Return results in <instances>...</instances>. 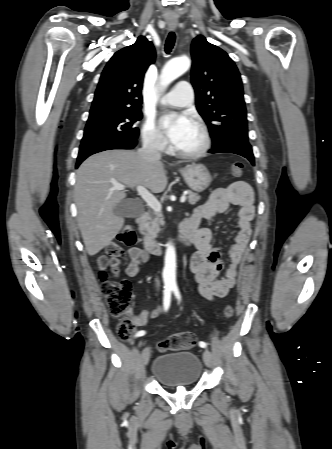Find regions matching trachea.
<instances>
[{
    "label": "trachea",
    "mask_w": 332,
    "mask_h": 449,
    "mask_svg": "<svg viewBox=\"0 0 332 449\" xmlns=\"http://www.w3.org/2000/svg\"><path fill=\"white\" fill-rule=\"evenodd\" d=\"M174 44H175V34L174 32H170L165 42V52L167 54H169L172 51Z\"/></svg>",
    "instance_id": "obj_1"
}]
</instances>
